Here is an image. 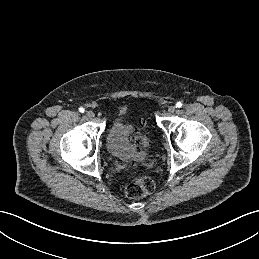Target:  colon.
Returning <instances> with one entry per match:
<instances>
[{"label": "colon", "mask_w": 259, "mask_h": 259, "mask_svg": "<svg viewBox=\"0 0 259 259\" xmlns=\"http://www.w3.org/2000/svg\"><path fill=\"white\" fill-rule=\"evenodd\" d=\"M143 149L148 148L150 142L147 138L140 140ZM154 182L149 177L134 176L130 179L125 194L129 198L138 199L151 194L154 191Z\"/></svg>", "instance_id": "obj_1"}]
</instances>
